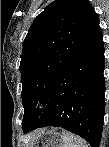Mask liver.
<instances>
[{
	"mask_svg": "<svg viewBox=\"0 0 109 147\" xmlns=\"http://www.w3.org/2000/svg\"><path fill=\"white\" fill-rule=\"evenodd\" d=\"M42 130H44V129H36V130L32 133V136H34L35 134L41 132Z\"/></svg>",
	"mask_w": 109,
	"mask_h": 147,
	"instance_id": "6515ba94",
	"label": "liver"
}]
</instances>
